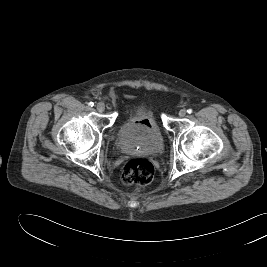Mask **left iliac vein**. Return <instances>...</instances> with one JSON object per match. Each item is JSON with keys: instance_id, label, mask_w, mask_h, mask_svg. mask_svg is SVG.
Instances as JSON below:
<instances>
[{"instance_id": "obj_1", "label": "left iliac vein", "mask_w": 267, "mask_h": 267, "mask_svg": "<svg viewBox=\"0 0 267 267\" xmlns=\"http://www.w3.org/2000/svg\"><path fill=\"white\" fill-rule=\"evenodd\" d=\"M185 115H186V110H185V109H181V110L179 111V116H180V117H185Z\"/></svg>"}]
</instances>
